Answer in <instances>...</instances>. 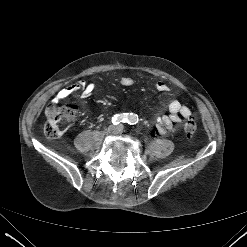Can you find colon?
I'll use <instances>...</instances> for the list:
<instances>
[{"label": "colon", "instance_id": "5ec220e1", "mask_svg": "<svg viewBox=\"0 0 247 247\" xmlns=\"http://www.w3.org/2000/svg\"><path fill=\"white\" fill-rule=\"evenodd\" d=\"M46 122L44 133L48 138L60 137L71 122L74 120L77 110L74 105H58L55 102L50 103L46 108ZM197 130V124L190 119L184 124V132L192 136Z\"/></svg>", "mask_w": 247, "mask_h": 247}]
</instances>
